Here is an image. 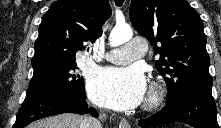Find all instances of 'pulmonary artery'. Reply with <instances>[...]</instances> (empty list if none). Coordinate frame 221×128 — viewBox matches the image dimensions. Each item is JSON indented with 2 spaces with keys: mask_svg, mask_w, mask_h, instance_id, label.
<instances>
[{
  "mask_svg": "<svg viewBox=\"0 0 221 128\" xmlns=\"http://www.w3.org/2000/svg\"><path fill=\"white\" fill-rule=\"evenodd\" d=\"M147 49V44L142 39H135L126 42L119 48L109 51L105 59L112 63L125 64L140 57Z\"/></svg>",
  "mask_w": 221,
  "mask_h": 128,
  "instance_id": "obj_1",
  "label": "pulmonary artery"
}]
</instances>
